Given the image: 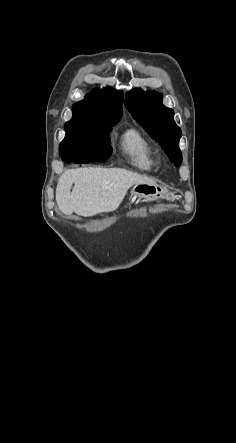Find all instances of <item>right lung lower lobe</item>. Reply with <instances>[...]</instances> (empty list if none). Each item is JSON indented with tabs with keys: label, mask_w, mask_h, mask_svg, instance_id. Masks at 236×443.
<instances>
[{
	"label": "right lung lower lobe",
	"mask_w": 236,
	"mask_h": 443,
	"mask_svg": "<svg viewBox=\"0 0 236 443\" xmlns=\"http://www.w3.org/2000/svg\"><path fill=\"white\" fill-rule=\"evenodd\" d=\"M59 151L60 157L67 163L104 162L111 156L112 147L67 146Z\"/></svg>",
	"instance_id": "98d812e1"
}]
</instances>
